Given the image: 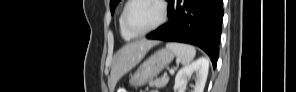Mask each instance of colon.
<instances>
[{
    "instance_id": "colon-1",
    "label": "colon",
    "mask_w": 296,
    "mask_h": 92,
    "mask_svg": "<svg viewBox=\"0 0 296 92\" xmlns=\"http://www.w3.org/2000/svg\"><path fill=\"white\" fill-rule=\"evenodd\" d=\"M121 91H122V92H125V90H124V89H122Z\"/></svg>"
}]
</instances>
